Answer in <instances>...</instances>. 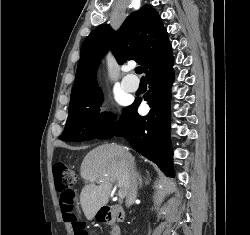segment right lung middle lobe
<instances>
[{
  "label": "right lung middle lobe",
  "instance_id": "1",
  "mask_svg": "<svg viewBox=\"0 0 250 235\" xmlns=\"http://www.w3.org/2000/svg\"><path fill=\"white\" fill-rule=\"evenodd\" d=\"M100 89L91 90L69 104L66 127L59 139L63 141H87L98 138L115 122V116L101 113Z\"/></svg>",
  "mask_w": 250,
  "mask_h": 235
}]
</instances>
